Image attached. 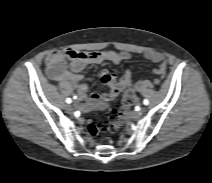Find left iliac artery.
Segmentation results:
<instances>
[{"mask_svg":"<svg viewBox=\"0 0 212 183\" xmlns=\"http://www.w3.org/2000/svg\"><path fill=\"white\" fill-rule=\"evenodd\" d=\"M143 104L144 105H148L149 104V101L147 99H144Z\"/></svg>","mask_w":212,"mask_h":183,"instance_id":"1","label":"left iliac artery"}]
</instances>
